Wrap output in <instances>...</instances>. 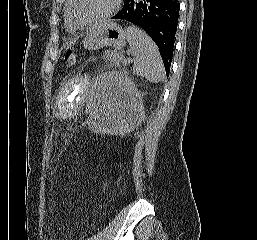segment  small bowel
I'll return each mask as SVG.
<instances>
[{"label": "small bowel", "mask_w": 257, "mask_h": 240, "mask_svg": "<svg viewBox=\"0 0 257 240\" xmlns=\"http://www.w3.org/2000/svg\"><path fill=\"white\" fill-rule=\"evenodd\" d=\"M94 60H96V58H91L89 61H94Z\"/></svg>", "instance_id": "obj_1"}]
</instances>
